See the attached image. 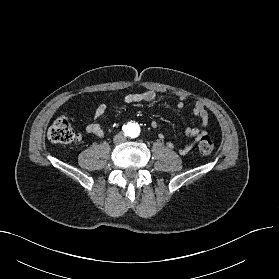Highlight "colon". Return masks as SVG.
<instances>
[{"instance_id":"5ec220e1","label":"colon","mask_w":279,"mask_h":279,"mask_svg":"<svg viewBox=\"0 0 279 279\" xmlns=\"http://www.w3.org/2000/svg\"><path fill=\"white\" fill-rule=\"evenodd\" d=\"M48 138L53 143L70 144L79 140V135L72 127L67 115L59 116L48 130ZM213 142L208 135H203L198 141V150L202 155H208L213 150Z\"/></svg>"}]
</instances>
